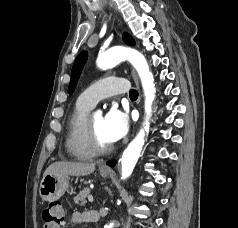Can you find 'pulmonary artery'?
I'll return each mask as SVG.
<instances>
[{"instance_id":"obj_1","label":"pulmonary artery","mask_w":238,"mask_h":228,"mask_svg":"<svg viewBox=\"0 0 238 228\" xmlns=\"http://www.w3.org/2000/svg\"><path fill=\"white\" fill-rule=\"evenodd\" d=\"M129 89L127 80L109 76L100 79L96 83L85 89L79 96V100L84 104L93 107L99 100L126 93Z\"/></svg>"}]
</instances>
